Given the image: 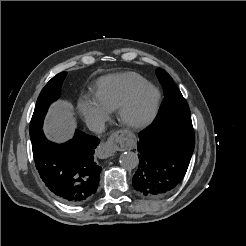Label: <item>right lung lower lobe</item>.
<instances>
[{
  "mask_svg": "<svg viewBox=\"0 0 246 246\" xmlns=\"http://www.w3.org/2000/svg\"><path fill=\"white\" fill-rule=\"evenodd\" d=\"M30 138L40 177L58 199L70 205L89 200L97 190L102 169L94 161L100 140L79 130L64 144L48 141L42 129Z\"/></svg>",
  "mask_w": 246,
  "mask_h": 246,
  "instance_id": "1",
  "label": "right lung lower lobe"
}]
</instances>
